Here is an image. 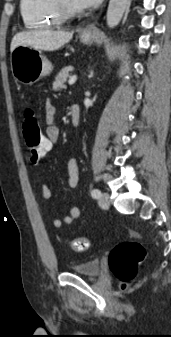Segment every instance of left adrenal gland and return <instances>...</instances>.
Wrapping results in <instances>:
<instances>
[{"instance_id": "1", "label": "left adrenal gland", "mask_w": 171, "mask_h": 337, "mask_svg": "<svg viewBox=\"0 0 171 337\" xmlns=\"http://www.w3.org/2000/svg\"><path fill=\"white\" fill-rule=\"evenodd\" d=\"M89 77H93V72L91 71V73H90V76Z\"/></svg>"}]
</instances>
